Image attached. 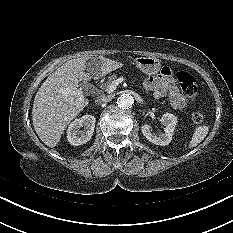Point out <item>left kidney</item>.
Instances as JSON below:
<instances>
[{"label": "left kidney", "instance_id": "5707ae66", "mask_svg": "<svg viewBox=\"0 0 233 233\" xmlns=\"http://www.w3.org/2000/svg\"><path fill=\"white\" fill-rule=\"evenodd\" d=\"M161 121L165 125L164 133H159L158 135L153 134L149 124L142 125L141 131L151 143L166 146L171 142L172 136L174 135V130L177 125V117L171 113H165L162 115Z\"/></svg>", "mask_w": 233, "mask_h": 233}]
</instances>
